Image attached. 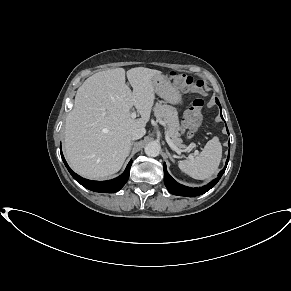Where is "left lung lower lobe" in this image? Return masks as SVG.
Masks as SVG:
<instances>
[{
    "instance_id": "1",
    "label": "left lung lower lobe",
    "mask_w": 291,
    "mask_h": 291,
    "mask_svg": "<svg viewBox=\"0 0 291 291\" xmlns=\"http://www.w3.org/2000/svg\"><path fill=\"white\" fill-rule=\"evenodd\" d=\"M216 102L219 105V107L221 108L218 99H216ZM221 117H222V114H221ZM222 119H223V117H222ZM227 132H228V130H227ZM229 146H230V143H229ZM228 160H229V155H228V158H227L226 165H225L224 169L219 172L218 177L216 179L211 181L209 184H207V185H205L203 187H199V188H190V187L181 185L178 182H176L169 175V173L167 172L166 164L164 163V183H165L168 191L170 193L174 194V195L186 196V197L199 196L201 194H204L208 190H210L220 180V178L222 177L223 173L225 172V169H226L227 164H228Z\"/></svg>"
}]
</instances>
